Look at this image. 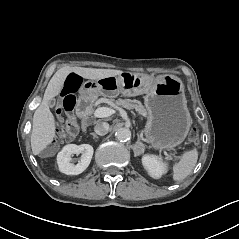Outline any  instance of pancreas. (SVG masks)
<instances>
[{
    "label": "pancreas",
    "mask_w": 239,
    "mask_h": 239,
    "mask_svg": "<svg viewBox=\"0 0 239 239\" xmlns=\"http://www.w3.org/2000/svg\"><path fill=\"white\" fill-rule=\"evenodd\" d=\"M113 108L117 109L119 106L126 108L128 110L135 109L140 115L146 117L147 111L142 103L138 100L131 99H117L113 101Z\"/></svg>",
    "instance_id": "cf45deb5"
}]
</instances>
